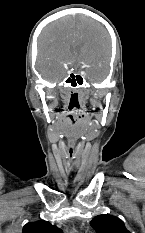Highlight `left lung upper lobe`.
<instances>
[{"mask_svg": "<svg viewBox=\"0 0 145 233\" xmlns=\"http://www.w3.org/2000/svg\"><path fill=\"white\" fill-rule=\"evenodd\" d=\"M90 224L97 233H130L122 220L108 214L94 217Z\"/></svg>", "mask_w": 145, "mask_h": 233, "instance_id": "1", "label": "left lung upper lobe"}]
</instances>
